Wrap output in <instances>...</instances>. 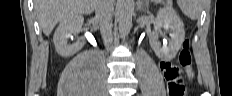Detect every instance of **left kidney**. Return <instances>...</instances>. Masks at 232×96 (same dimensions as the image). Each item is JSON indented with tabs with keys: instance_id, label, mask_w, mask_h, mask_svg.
I'll return each mask as SVG.
<instances>
[{
	"instance_id": "left-kidney-1",
	"label": "left kidney",
	"mask_w": 232,
	"mask_h": 96,
	"mask_svg": "<svg viewBox=\"0 0 232 96\" xmlns=\"http://www.w3.org/2000/svg\"><path fill=\"white\" fill-rule=\"evenodd\" d=\"M171 31V39L169 43L161 45L158 38L162 34L161 29ZM185 38L184 24L176 11L172 7H164L159 9L154 23V31L152 32L149 43L155 54L163 60H172L179 51Z\"/></svg>"
}]
</instances>
